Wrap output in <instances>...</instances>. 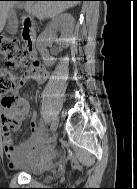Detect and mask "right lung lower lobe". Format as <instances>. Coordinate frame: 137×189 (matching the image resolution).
<instances>
[{
  "label": "right lung lower lobe",
  "instance_id": "obj_1",
  "mask_svg": "<svg viewBox=\"0 0 137 189\" xmlns=\"http://www.w3.org/2000/svg\"><path fill=\"white\" fill-rule=\"evenodd\" d=\"M72 1H84V0H72Z\"/></svg>",
  "mask_w": 137,
  "mask_h": 189
}]
</instances>
